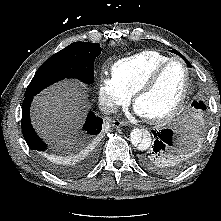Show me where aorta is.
I'll use <instances>...</instances> for the list:
<instances>
[{
	"instance_id": "1",
	"label": "aorta",
	"mask_w": 221,
	"mask_h": 221,
	"mask_svg": "<svg viewBox=\"0 0 221 221\" xmlns=\"http://www.w3.org/2000/svg\"><path fill=\"white\" fill-rule=\"evenodd\" d=\"M131 143L139 150H147L152 142L151 134L146 130L135 128L130 133Z\"/></svg>"
}]
</instances>
